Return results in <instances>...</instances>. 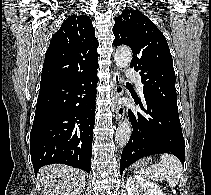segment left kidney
<instances>
[{
  "instance_id": "left-kidney-1",
  "label": "left kidney",
  "mask_w": 211,
  "mask_h": 195,
  "mask_svg": "<svg viewBox=\"0 0 211 195\" xmlns=\"http://www.w3.org/2000/svg\"><path fill=\"white\" fill-rule=\"evenodd\" d=\"M126 189L128 195H165L160 186L136 175L128 177Z\"/></svg>"
}]
</instances>
